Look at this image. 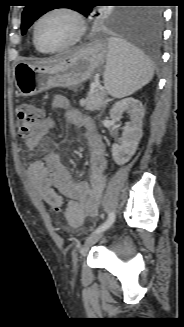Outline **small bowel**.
<instances>
[{"label": "small bowel", "mask_w": 184, "mask_h": 327, "mask_svg": "<svg viewBox=\"0 0 184 327\" xmlns=\"http://www.w3.org/2000/svg\"><path fill=\"white\" fill-rule=\"evenodd\" d=\"M51 106L67 112L69 121L80 126L85 133L90 148V173L88 181H74L58 154L49 153L43 161H34L28 168L27 176L36 195L49 203H57L64 211L68 223L77 227L87 216V210L96 212L97 201L105 187L104 175L107 167L105 145L101 136L94 130L92 122L73 110L64 96H56ZM56 122L47 117L27 138L28 149L34 150L41 139L54 131Z\"/></svg>", "instance_id": "small-bowel-1"}]
</instances>
